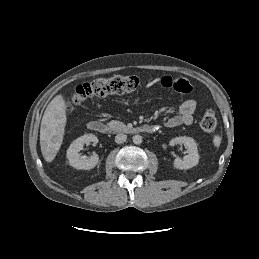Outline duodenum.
Listing matches in <instances>:
<instances>
[{
  "mask_svg": "<svg viewBox=\"0 0 259 259\" xmlns=\"http://www.w3.org/2000/svg\"><path fill=\"white\" fill-rule=\"evenodd\" d=\"M88 128L96 133L99 134H107L111 131V128L106 125L105 123L99 122V121H91L88 123ZM157 127L155 125H141L137 127H132V128H126L124 129L125 132L128 133H147V134H152L156 132Z\"/></svg>",
  "mask_w": 259,
  "mask_h": 259,
  "instance_id": "duodenum-1",
  "label": "duodenum"
}]
</instances>
